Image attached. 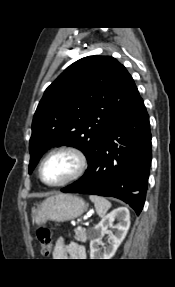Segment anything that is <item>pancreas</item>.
Instances as JSON below:
<instances>
[{
  "mask_svg": "<svg viewBox=\"0 0 175 287\" xmlns=\"http://www.w3.org/2000/svg\"><path fill=\"white\" fill-rule=\"evenodd\" d=\"M74 232H75L74 237L77 241L86 242V240H87L86 228L78 227L74 230Z\"/></svg>",
  "mask_w": 175,
  "mask_h": 287,
  "instance_id": "cf45deb5",
  "label": "pancreas"
}]
</instances>
